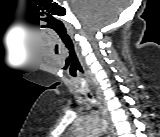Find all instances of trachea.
Instances as JSON below:
<instances>
[{
  "instance_id": "trachea-1",
  "label": "trachea",
  "mask_w": 160,
  "mask_h": 137,
  "mask_svg": "<svg viewBox=\"0 0 160 137\" xmlns=\"http://www.w3.org/2000/svg\"><path fill=\"white\" fill-rule=\"evenodd\" d=\"M68 47L71 50L70 52L72 55V60H71V70L73 71L72 76L76 77V70H79L80 72H82V69H81L80 63L78 62L74 54L73 47L72 46H68ZM88 96L91 97L89 94Z\"/></svg>"
}]
</instances>
